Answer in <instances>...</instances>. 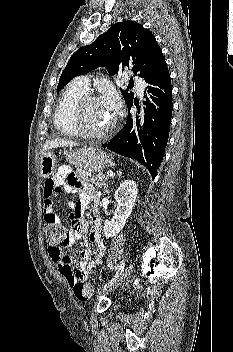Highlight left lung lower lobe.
Masks as SVG:
<instances>
[{
	"label": "left lung lower lobe",
	"instance_id": "1",
	"mask_svg": "<svg viewBox=\"0 0 233 352\" xmlns=\"http://www.w3.org/2000/svg\"><path fill=\"white\" fill-rule=\"evenodd\" d=\"M145 81L148 93L157 97L150 95L154 104L144 95V114L133 118L129 113L123 129L102 147L142 163L154 179L164 156L172 116V87L166 62ZM133 103L137 106L136 99L127 105L129 112Z\"/></svg>",
	"mask_w": 233,
	"mask_h": 352
}]
</instances>
